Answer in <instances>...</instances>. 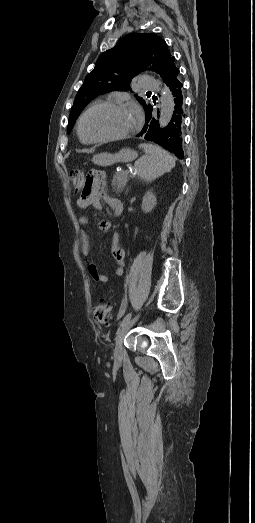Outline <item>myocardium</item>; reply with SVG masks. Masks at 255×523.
I'll return each mask as SVG.
<instances>
[{
    "label": "myocardium",
    "instance_id": "f54148a6",
    "mask_svg": "<svg viewBox=\"0 0 255 523\" xmlns=\"http://www.w3.org/2000/svg\"><path fill=\"white\" fill-rule=\"evenodd\" d=\"M121 105H129V106H132L135 108L136 112H137V122L134 126V128L124 134H121V135H118V136H113V137H108V138H101V139H89V138H86L83 134V121L86 117V115L94 108L96 107H100V106H121ZM142 125V116L140 115L135 103L131 102V101H123V100H110V101H101V102H97L91 106H89L80 116L79 118V121H78V127H77V130H78V134L80 136V138L85 141V142H88V143H96V144H102V143H108V142H113V141H120V140H124V139H127V138H130L132 136H134L140 129Z\"/></svg>",
    "mask_w": 255,
    "mask_h": 523
}]
</instances>
